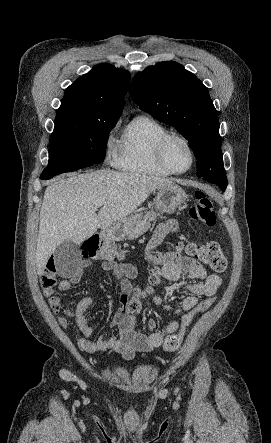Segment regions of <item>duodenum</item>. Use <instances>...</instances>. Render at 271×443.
Listing matches in <instances>:
<instances>
[{"label": "duodenum", "instance_id": "obj_1", "mask_svg": "<svg viewBox=\"0 0 271 443\" xmlns=\"http://www.w3.org/2000/svg\"><path fill=\"white\" fill-rule=\"evenodd\" d=\"M102 236L105 237V238L112 237L113 236V232L110 231V230H105V231H103Z\"/></svg>", "mask_w": 271, "mask_h": 443}]
</instances>
